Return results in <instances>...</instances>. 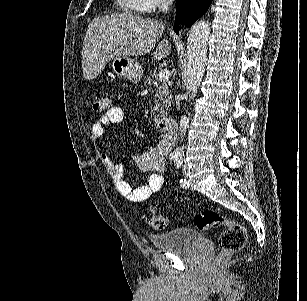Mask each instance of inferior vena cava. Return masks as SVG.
<instances>
[{
	"label": "inferior vena cava",
	"instance_id": "1",
	"mask_svg": "<svg viewBox=\"0 0 307 301\" xmlns=\"http://www.w3.org/2000/svg\"><path fill=\"white\" fill-rule=\"evenodd\" d=\"M172 4V0H161L160 4H158V8L161 12V10H163V12H167V10H169L170 6ZM188 118L186 116V114H183V116H181L180 118V126H179V138H181V140H183L184 136H185V124L187 122Z\"/></svg>",
	"mask_w": 307,
	"mask_h": 301
}]
</instances>
